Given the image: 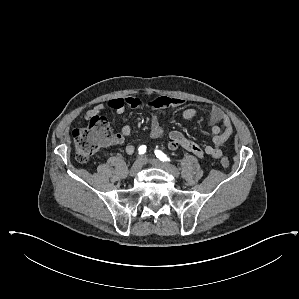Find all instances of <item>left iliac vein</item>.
Listing matches in <instances>:
<instances>
[{"mask_svg":"<svg viewBox=\"0 0 299 299\" xmlns=\"http://www.w3.org/2000/svg\"><path fill=\"white\" fill-rule=\"evenodd\" d=\"M144 160L145 161H149L153 166H155L157 168H161V169L167 171L168 173H170L174 177H179V175H180L179 170L175 166H173V165H171L169 163L161 162L158 159H150V160H148L147 157H145Z\"/></svg>","mask_w":299,"mask_h":299,"instance_id":"left-iliac-vein-1","label":"left iliac vein"}]
</instances>
